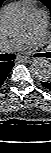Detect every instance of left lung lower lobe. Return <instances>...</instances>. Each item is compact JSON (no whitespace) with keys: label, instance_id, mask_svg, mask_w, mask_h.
<instances>
[{"label":"left lung lower lobe","instance_id":"obj_1","mask_svg":"<svg viewBox=\"0 0 51 153\" xmlns=\"http://www.w3.org/2000/svg\"><path fill=\"white\" fill-rule=\"evenodd\" d=\"M43 84L44 87H46L47 89L51 90V81H47V82H41Z\"/></svg>","mask_w":51,"mask_h":153}]
</instances>
